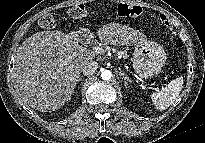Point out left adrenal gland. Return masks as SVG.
Returning a JSON list of instances; mask_svg holds the SVG:
<instances>
[{"mask_svg": "<svg viewBox=\"0 0 205 143\" xmlns=\"http://www.w3.org/2000/svg\"><path fill=\"white\" fill-rule=\"evenodd\" d=\"M120 76H122V78L124 79V85L125 88H128V82H132L131 79H129V77H127L124 73L120 72Z\"/></svg>", "mask_w": 205, "mask_h": 143, "instance_id": "left-adrenal-gland-1", "label": "left adrenal gland"}]
</instances>
